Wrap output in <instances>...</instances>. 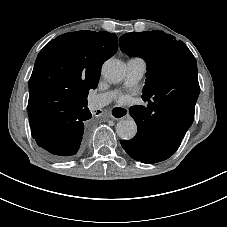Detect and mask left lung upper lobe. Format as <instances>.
<instances>
[{
  "label": "left lung upper lobe",
  "instance_id": "left-lung-upper-lobe-1",
  "mask_svg": "<svg viewBox=\"0 0 227 227\" xmlns=\"http://www.w3.org/2000/svg\"><path fill=\"white\" fill-rule=\"evenodd\" d=\"M120 48L147 62L144 101L170 99L190 86L199 88L196 59L174 36L163 31L127 33L120 37Z\"/></svg>",
  "mask_w": 227,
  "mask_h": 227
}]
</instances>
